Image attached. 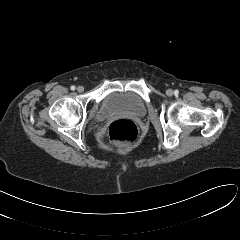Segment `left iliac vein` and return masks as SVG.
Here are the masks:
<instances>
[{"mask_svg": "<svg viewBox=\"0 0 240 240\" xmlns=\"http://www.w3.org/2000/svg\"><path fill=\"white\" fill-rule=\"evenodd\" d=\"M173 90H171V89H168L167 91H166V94L168 95V96H172L173 95Z\"/></svg>", "mask_w": 240, "mask_h": 240, "instance_id": "obj_1", "label": "left iliac vein"}]
</instances>
